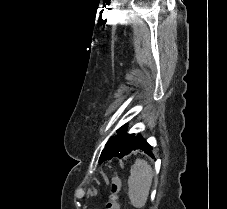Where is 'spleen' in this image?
<instances>
[{
	"instance_id": "spleen-1",
	"label": "spleen",
	"mask_w": 227,
	"mask_h": 209,
	"mask_svg": "<svg viewBox=\"0 0 227 209\" xmlns=\"http://www.w3.org/2000/svg\"><path fill=\"white\" fill-rule=\"evenodd\" d=\"M153 171L147 161L136 159L128 179V197L135 209H143L152 185Z\"/></svg>"
}]
</instances>
